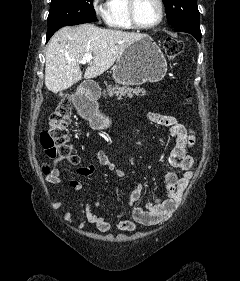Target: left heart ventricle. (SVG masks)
<instances>
[{"mask_svg":"<svg viewBox=\"0 0 240 281\" xmlns=\"http://www.w3.org/2000/svg\"><path fill=\"white\" fill-rule=\"evenodd\" d=\"M136 14L138 21L143 25H151L159 18L157 0H137Z\"/></svg>","mask_w":240,"mask_h":281,"instance_id":"left-heart-ventricle-1","label":"left heart ventricle"}]
</instances>
